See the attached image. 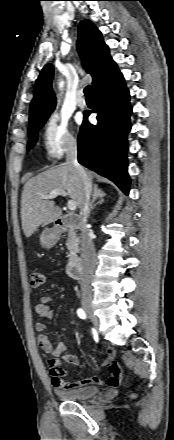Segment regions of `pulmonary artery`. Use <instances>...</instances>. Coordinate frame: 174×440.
<instances>
[{"label":"pulmonary artery","mask_w":174,"mask_h":440,"mask_svg":"<svg viewBox=\"0 0 174 440\" xmlns=\"http://www.w3.org/2000/svg\"><path fill=\"white\" fill-rule=\"evenodd\" d=\"M76 103H77V106H78L79 108H85L86 105H87L86 100H85L83 97H81V96H79V97L77 98Z\"/></svg>","instance_id":"obj_1"}]
</instances>
